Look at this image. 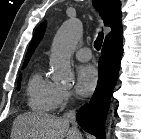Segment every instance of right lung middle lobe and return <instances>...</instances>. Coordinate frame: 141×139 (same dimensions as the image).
Masks as SVG:
<instances>
[{
	"instance_id": "dd1d6c3e",
	"label": "right lung middle lobe",
	"mask_w": 141,
	"mask_h": 139,
	"mask_svg": "<svg viewBox=\"0 0 141 139\" xmlns=\"http://www.w3.org/2000/svg\"><path fill=\"white\" fill-rule=\"evenodd\" d=\"M25 67H26V65H23L22 69H24ZM20 83H21V76L19 77L18 84H17V89L18 90L20 88Z\"/></svg>"
}]
</instances>
